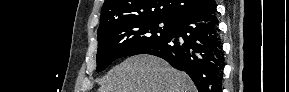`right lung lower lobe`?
I'll return each mask as SVG.
<instances>
[{"label":"right lung lower lobe","instance_id":"98d812e1","mask_svg":"<svg viewBox=\"0 0 289 92\" xmlns=\"http://www.w3.org/2000/svg\"><path fill=\"white\" fill-rule=\"evenodd\" d=\"M185 71L199 92H220L224 57L218 30L216 3L172 21V32L164 40L142 49Z\"/></svg>","mask_w":289,"mask_h":92}]
</instances>
